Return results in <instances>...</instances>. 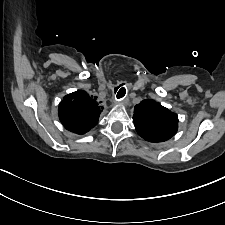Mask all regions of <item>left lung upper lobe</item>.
Returning a JSON list of instances; mask_svg holds the SVG:
<instances>
[{"instance_id":"obj_1","label":"left lung upper lobe","mask_w":225,"mask_h":225,"mask_svg":"<svg viewBox=\"0 0 225 225\" xmlns=\"http://www.w3.org/2000/svg\"><path fill=\"white\" fill-rule=\"evenodd\" d=\"M133 121L138 134L149 142L166 141L178 129L177 114L150 99L135 106Z\"/></svg>"}]
</instances>
